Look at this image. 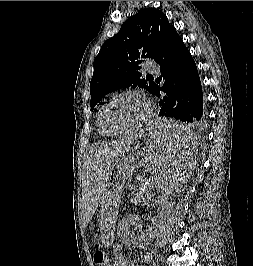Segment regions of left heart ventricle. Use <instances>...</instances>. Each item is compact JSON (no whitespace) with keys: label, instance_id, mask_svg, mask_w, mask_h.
Segmentation results:
<instances>
[{"label":"left heart ventricle","instance_id":"b2bd125f","mask_svg":"<svg viewBox=\"0 0 253 266\" xmlns=\"http://www.w3.org/2000/svg\"><path fill=\"white\" fill-rule=\"evenodd\" d=\"M146 112L144 100L125 95L110 103L102 114V125L107 132L127 129L137 123Z\"/></svg>","mask_w":253,"mask_h":266}]
</instances>
